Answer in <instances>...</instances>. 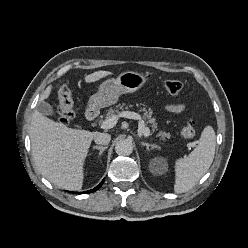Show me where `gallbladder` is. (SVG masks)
I'll list each match as a JSON object with an SVG mask.
<instances>
[{
  "label": "gallbladder",
  "mask_w": 248,
  "mask_h": 248,
  "mask_svg": "<svg viewBox=\"0 0 248 248\" xmlns=\"http://www.w3.org/2000/svg\"><path fill=\"white\" fill-rule=\"evenodd\" d=\"M36 109L42 115H54V110H53L52 106L46 102H39L36 106Z\"/></svg>",
  "instance_id": "obj_1"
}]
</instances>
